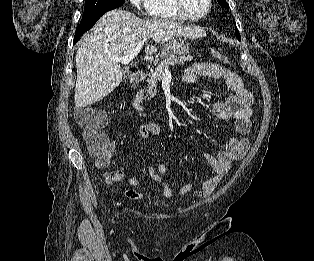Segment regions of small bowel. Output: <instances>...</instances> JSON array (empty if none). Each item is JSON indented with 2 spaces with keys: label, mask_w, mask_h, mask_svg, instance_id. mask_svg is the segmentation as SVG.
Masks as SVG:
<instances>
[{
  "label": "small bowel",
  "mask_w": 314,
  "mask_h": 261,
  "mask_svg": "<svg viewBox=\"0 0 314 261\" xmlns=\"http://www.w3.org/2000/svg\"><path fill=\"white\" fill-rule=\"evenodd\" d=\"M200 77H210L214 79H221L226 86L232 91V94L224 99L217 101L213 105V112L217 118L221 120H234L236 132L241 136H247L251 131V116H252V102L253 95L245 87L241 77L234 71L224 68L223 66L210 63L200 62L188 67L183 73V80L187 83H193ZM106 119L104 116V124ZM102 126V127H103ZM162 129L159 125L154 123H147L142 125L139 130V136L148 142L152 135L161 134ZM249 141L247 138L232 137L226 143L225 147L221 149L215 157L205 156V159L210 163L211 170L208 177L203 181L201 189L196 191L200 197H207L213 193L217 185L223 177L229 172L232 162L243 158L248 150ZM115 144L111 143V151L106 155L97 158V167L100 169L106 168L115 153ZM147 173L150 178L161 185V194L164 197H171L173 191L169 184L163 179V175L168 173V167L159 163L156 166L147 168ZM108 176H113L111 182L119 181L123 176V169L110 172ZM129 185L136 187L139 185V179L135 176L127 178ZM192 190V184L187 182L180 188V194H188ZM126 197L137 200L141 198V194L135 189H125Z\"/></svg>",
  "instance_id": "c3829d8e"
}]
</instances>
